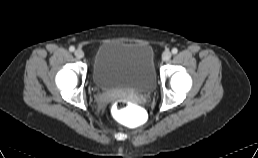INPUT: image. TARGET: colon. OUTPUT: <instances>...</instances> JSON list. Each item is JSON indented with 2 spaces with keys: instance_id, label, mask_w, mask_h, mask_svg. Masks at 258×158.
Listing matches in <instances>:
<instances>
[{
  "instance_id": "5ec220e1",
  "label": "colon",
  "mask_w": 258,
  "mask_h": 158,
  "mask_svg": "<svg viewBox=\"0 0 258 158\" xmlns=\"http://www.w3.org/2000/svg\"><path fill=\"white\" fill-rule=\"evenodd\" d=\"M127 107V103L124 101H116L111 107V111L114 115H121L124 109Z\"/></svg>"
}]
</instances>
